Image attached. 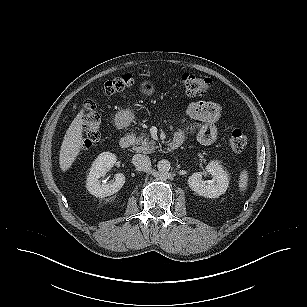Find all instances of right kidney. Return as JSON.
<instances>
[{
	"instance_id": "1",
	"label": "right kidney",
	"mask_w": 307,
	"mask_h": 307,
	"mask_svg": "<svg viewBox=\"0 0 307 307\" xmlns=\"http://www.w3.org/2000/svg\"><path fill=\"white\" fill-rule=\"evenodd\" d=\"M116 161V156L110 152H103L95 159L86 181V188L90 194L103 198L117 193L122 188L125 183L123 173L115 174V180L112 183L101 184L99 180L114 166Z\"/></svg>"
}]
</instances>
